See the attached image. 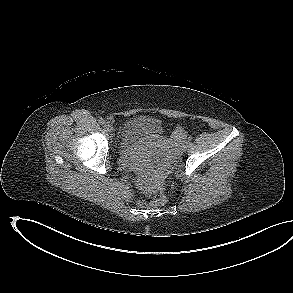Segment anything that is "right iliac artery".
Instances as JSON below:
<instances>
[{
	"instance_id": "1",
	"label": "right iliac artery",
	"mask_w": 293,
	"mask_h": 293,
	"mask_svg": "<svg viewBox=\"0 0 293 293\" xmlns=\"http://www.w3.org/2000/svg\"><path fill=\"white\" fill-rule=\"evenodd\" d=\"M99 123L101 124V125H104L105 124V120L103 119V118H99Z\"/></svg>"
}]
</instances>
